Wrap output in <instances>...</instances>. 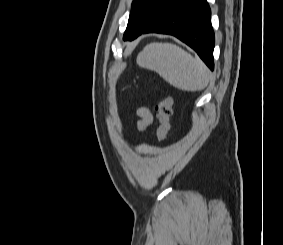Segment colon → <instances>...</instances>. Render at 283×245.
I'll list each match as a JSON object with an SVG mask.
<instances>
[{
  "label": "colon",
  "instance_id": "colon-1",
  "mask_svg": "<svg viewBox=\"0 0 283 245\" xmlns=\"http://www.w3.org/2000/svg\"><path fill=\"white\" fill-rule=\"evenodd\" d=\"M174 100L167 94L156 106V119L158 122L157 137L159 141L167 139L170 130V118L173 113Z\"/></svg>",
  "mask_w": 283,
  "mask_h": 245
}]
</instances>
